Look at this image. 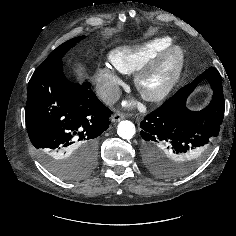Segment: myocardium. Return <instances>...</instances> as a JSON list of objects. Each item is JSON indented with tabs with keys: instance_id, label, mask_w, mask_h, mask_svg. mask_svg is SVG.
Instances as JSON below:
<instances>
[{
	"instance_id": "1",
	"label": "myocardium",
	"mask_w": 236,
	"mask_h": 236,
	"mask_svg": "<svg viewBox=\"0 0 236 236\" xmlns=\"http://www.w3.org/2000/svg\"><path fill=\"white\" fill-rule=\"evenodd\" d=\"M184 61V53L180 47H168L137 70L134 82L142 97L151 102H158L166 98L181 78ZM164 64L170 66L169 77L159 87L150 88L148 79Z\"/></svg>"
}]
</instances>
